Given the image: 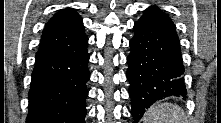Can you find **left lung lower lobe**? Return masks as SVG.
Instances as JSON below:
<instances>
[{
	"instance_id": "1",
	"label": "left lung lower lobe",
	"mask_w": 221,
	"mask_h": 123,
	"mask_svg": "<svg viewBox=\"0 0 221 123\" xmlns=\"http://www.w3.org/2000/svg\"><path fill=\"white\" fill-rule=\"evenodd\" d=\"M127 57L129 96L134 121L157 100L186 96L184 66L175 25L157 6H150L134 24Z\"/></svg>"
}]
</instances>
